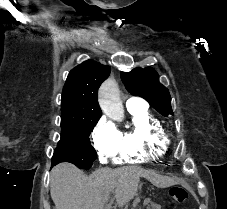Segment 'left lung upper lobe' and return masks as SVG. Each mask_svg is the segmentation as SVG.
<instances>
[{
    "mask_svg": "<svg viewBox=\"0 0 227 209\" xmlns=\"http://www.w3.org/2000/svg\"><path fill=\"white\" fill-rule=\"evenodd\" d=\"M121 79L132 95L144 98L163 116L173 115L169 91L159 83V76L154 69L135 68L128 73L121 72Z\"/></svg>",
    "mask_w": 227,
    "mask_h": 209,
    "instance_id": "1",
    "label": "left lung upper lobe"
}]
</instances>
